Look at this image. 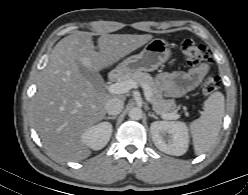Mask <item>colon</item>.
Segmentation results:
<instances>
[{"instance_id": "colon-1", "label": "colon", "mask_w": 248, "mask_h": 195, "mask_svg": "<svg viewBox=\"0 0 248 195\" xmlns=\"http://www.w3.org/2000/svg\"><path fill=\"white\" fill-rule=\"evenodd\" d=\"M181 50L186 65L191 67L212 62L210 50L194 40L186 39L181 44ZM221 86V79L218 75H212L205 78L202 85V96L208 97Z\"/></svg>"}]
</instances>
